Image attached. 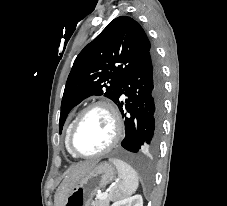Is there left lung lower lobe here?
<instances>
[{
  "label": "left lung lower lobe",
  "instance_id": "1",
  "mask_svg": "<svg viewBox=\"0 0 227 206\" xmlns=\"http://www.w3.org/2000/svg\"><path fill=\"white\" fill-rule=\"evenodd\" d=\"M125 94L126 111L120 101ZM164 83L154 52L147 55L124 79L117 101L125 122L123 149L138 153L157 148L161 133Z\"/></svg>",
  "mask_w": 227,
  "mask_h": 206
}]
</instances>
